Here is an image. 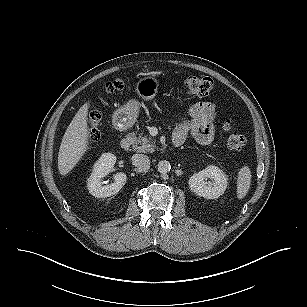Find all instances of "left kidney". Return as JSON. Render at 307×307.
<instances>
[{
    "mask_svg": "<svg viewBox=\"0 0 307 307\" xmlns=\"http://www.w3.org/2000/svg\"><path fill=\"white\" fill-rule=\"evenodd\" d=\"M188 184L198 196L216 199L224 194L227 188V175L219 167L209 165L204 170L193 174Z\"/></svg>",
    "mask_w": 307,
    "mask_h": 307,
    "instance_id": "5707ae66",
    "label": "left kidney"
}]
</instances>
